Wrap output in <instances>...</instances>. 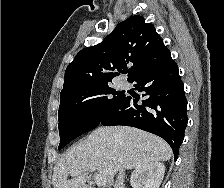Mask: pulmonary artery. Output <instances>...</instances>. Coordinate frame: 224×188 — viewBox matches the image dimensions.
<instances>
[{
  "label": "pulmonary artery",
  "mask_w": 224,
  "mask_h": 188,
  "mask_svg": "<svg viewBox=\"0 0 224 188\" xmlns=\"http://www.w3.org/2000/svg\"><path fill=\"white\" fill-rule=\"evenodd\" d=\"M120 86H121V87H125V86H126V83H125V82H121V83H120Z\"/></svg>",
  "instance_id": "e3ab8cb5"
}]
</instances>
